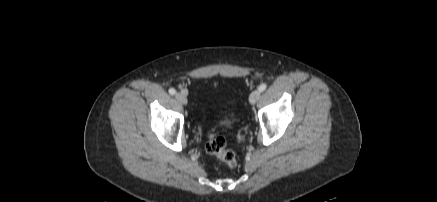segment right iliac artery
Here are the masks:
<instances>
[{"label":"right iliac artery","instance_id":"82829eb1","mask_svg":"<svg viewBox=\"0 0 437 202\" xmlns=\"http://www.w3.org/2000/svg\"><path fill=\"white\" fill-rule=\"evenodd\" d=\"M169 93H170L171 95H174V94L176 93V91H175L174 88H170V89H169Z\"/></svg>","mask_w":437,"mask_h":202}]
</instances>
